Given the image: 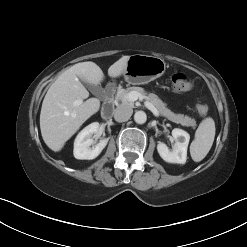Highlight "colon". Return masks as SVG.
Returning a JSON list of instances; mask_svg holds the SVG:
<instances>
[{
	"label": "colon",
	"mask_w": 247,
	"mask_h": 247,
	"mask_svg": "<svg viewBox=\"0 0 247 247\" xmlns=\"http://www.w3.org/2000/svg\"><path fill=\"white\" fill-rule=\"evenodd\" d=\"M172 87L175 91L184 92L192 88L191 80L183 73H175L171 77ZM197 111L201 116H206L208 113V105L204 101L197 104Z\"/></svg>",
	"instance_id": "5ec220e1"
}]
</instances>
